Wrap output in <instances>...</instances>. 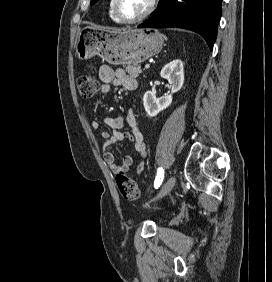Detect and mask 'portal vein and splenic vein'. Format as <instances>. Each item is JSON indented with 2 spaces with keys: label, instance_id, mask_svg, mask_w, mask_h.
<instances>
[{
  "label": "portal vein and splenic vein",
  "instance_id": "obj_1",
  "mask_svg": "<svg viewBox=\"0 0 272 282\" xmlns=\"http://www.w3.org/2000/svg\"><path fill=\"white\" fill-rule=\"evenodd\" d=\"M150 68V65L149 64H146L145 65V69H149Z\"/></svg>",
  "mask_w": 272,
  "mask_h": 282
}]
</instances>
